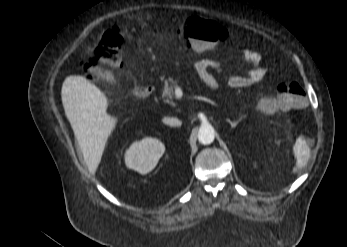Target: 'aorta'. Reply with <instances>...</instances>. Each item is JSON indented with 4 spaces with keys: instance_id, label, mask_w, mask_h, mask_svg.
Here are the masks:
<instances>
[{
    "instance_id": "obj_1",
    "label": "aorta",
    "mask_w": 347,
    "mask_h": 247,
    "mask_svg": "<svg viewBox=\"0 0 347 247\" xmlns=\"http://www.w3.org/2000/svg\"><path fill=\"white\" fill-rule=\"evenodd\" d=\"M215 138V131L212 126L210 125H203L198 133V139L199 142L208 145L211 144L214 141Z\"/></svg>"
}]
</instances>
